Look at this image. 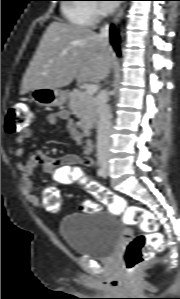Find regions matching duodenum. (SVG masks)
<instances>
[{
    "mask_svg": "<svg viewBox=\"0 0 180 299\" xmlns=\"http://www.w3.org/2000/svg\"><path fill=\"white\" fill-rule=\"evenodd\" d=\"M83 131L87 136H90L93 133V128L90 124H83Z\"/></svg>",
    "mask_w": 180,
    "mask_h": 299,
    "instance_id": "1",
    "label": "duodenum"
}]
</instances>
